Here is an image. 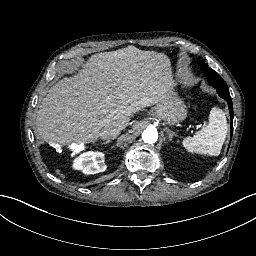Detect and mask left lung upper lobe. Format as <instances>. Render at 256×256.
Masks as SVG:
<instances>
[{
    "label": "left lung upper lobe",
    "mask_w": 256,
    "mask_h": 256,
    "mask_svg": "<svg viewBox=\"0 0 256 256\" xmlns=\"http://www.w3.org/2000/svg\"><path fill=\"white\" fill-rule=\"evenodd\" d=\"M199 64L202 66L204 72L208 75L209 83L216 88L217 93L224 98L229 107L230 111V117H231V137L233 133V107H232V101L229 94V89L227 85L223 82V79L218 75L217 72L212 70L207 64L204 62H199Z\"/></svg>",
    "instance_id": "5c2ea615"
}]
</instances>
